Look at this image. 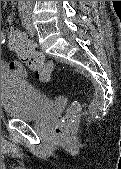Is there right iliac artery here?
Segmentation results:
<instances>
[{
	"instance_id": "1",
	"label": "right iliac artery",
	"mask_w": 121,
	"mask_h": 169,
	"mask_svg": "<svg viewBox=\"0 0 121 169\" xmlns=\"http://www.w3.org/2000/svg\"><path fill=\"white\" fill-rule=\"evenodd\" d=\"M24 10V7L23 6H19V11L21 12V11H23Z\"/></svg>"
}]
</instances>
